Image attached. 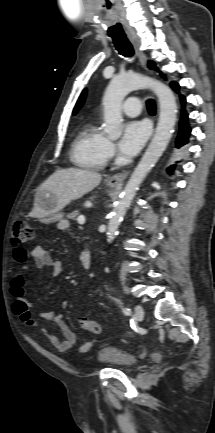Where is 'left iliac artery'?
<instances>
[{
    "label": "left iliac artery",
    "instance_id": "obj_1",
    "mask_svg": "<svg viewBox=\"0 0 215 433\" xmlns=\"http://www.w3.org/2000/svg\"><path fill=\"white\" fill-rule=\"evenodd\" d=\"M123 312L125 315H130L131 314V310L129 308H123Z\"/></svg>",
    "mask_w": 215,
    "mask_h": 433
}]
</instances>
